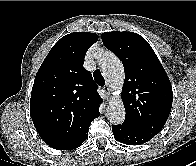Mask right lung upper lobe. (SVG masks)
I'll list each match as a JSON object with an SVG mask.
<instances>
[{"label":"right lung upper lobe","instance_id":"right-lung-upper-lobe-1","mask_svg":"<svg viewBox=\"0 0 196 166\" xmlns=\"http://www.w3.org/2000/svg\"><path fill=\"white\" fill-rule=\"evenodd\" d=\"M98 40L95 33L73 32L62 37L40 66L32 87L30 114L46 142H81L91 121L99 117L102 98L83 63Z\"/></svg>","mask_w":196,"mask_h":166}]
</instances>
